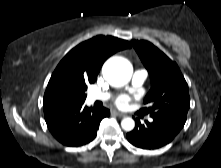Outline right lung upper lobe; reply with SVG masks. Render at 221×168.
Instances as JSON below:
<instances>
[{
  "instance_id": "right-lung-upper-lobe-1",
  "label": "right lung upper lobe",
  "mask_w": 221,
  "mask_h": 168,
  "mask_svg": "<svg viewBox=\"0 0 221 168\" xmlns=\"http://www.w3.org/2000/svg\"><path fill=\"white\" fill-rule=\"evenodd\" d=\"M131 47L128 41L112 36H96L69 51L53 72L44 94V107L75 104L71 89L94 83L105 60Z\"/></svg>"
}]
</instances>
